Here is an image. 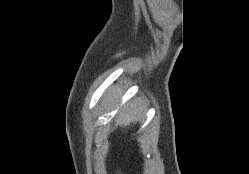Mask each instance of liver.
<instances>
[{
    "label": "liver",
    "mask_w": 249,
    "mask_h": 174,
    "mask_svg": "<svg viewBox=\"0 0 249 174\" xmlns=\"http://www.w3.org/2000/svg\"><path fill=\"white\" fill-rule=\"evenodd\" d=\"M135 113L133 111H129L126 113H122L118 118H117V125H130V123L134 120Z\"/></svg>",
    "instance_id": "liver-1"
}]
</instances>
